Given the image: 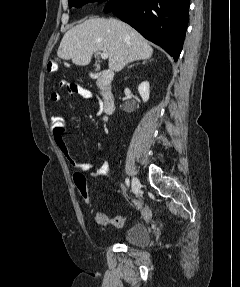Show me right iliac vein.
<instances>
[{
  "label": "right iliac vein",
  "mask_w": 240,
  "mask_h": 287,
  "mask_svg": "<svg viewBox=\"0 0 240 287\" xmlns=\"http://www.w3.org/2000/svg\"><path fill=\"white\" fill-rule=\"evenodd\" d=\"M141 184L137 177L132 179V191L137 195L140 193Z\"/></svg>",
  "instance_id": "63e3f726"
}]
</instances>
